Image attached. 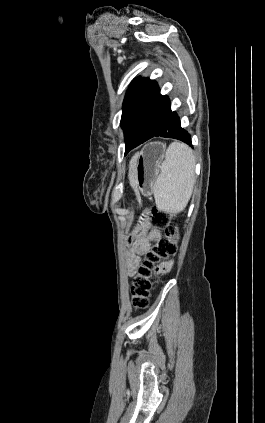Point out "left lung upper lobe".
<instances>
[{
  "instance_id": "left-lung-upper-lobe-1",
  "label": "left lung upper lobe",
  "mask_w": 265,
  "mask_h": 423,
  "mask_svg": "<svg viewBox=\"0 0 265 423\" xmlns=\"http://www.w3.org/2000/svg\"><path fill=\"white\" fill-rule=\"evenodd\" d=\"M144 78H140L138 77L137 79H135L128 91L127 94L125 96L124 102H123V112H122V117H121V127L124 130V134H125V127H126V122H127V117L131 108V105L133 103V100L140 88V86L142 85V83L144 82Z\"/></svg>"
}]
</instances>
